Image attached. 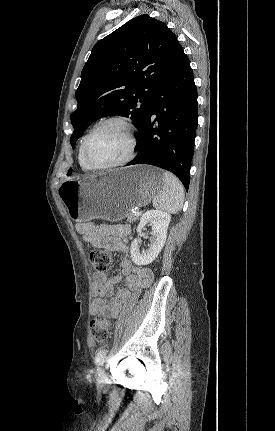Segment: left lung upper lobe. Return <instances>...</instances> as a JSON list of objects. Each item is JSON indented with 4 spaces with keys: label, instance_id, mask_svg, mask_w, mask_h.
Returning a JSON list of instances; mask_svg holds the SVG:
<instances>
[{
    "label": "left lung upper lobe",
    "instance_id": "left-lung-upper-lobe-1",
    "mask_svg": "<svg viewBox=\"0 0 275 431\" xmlns=\"http://www.w3.org/2000/svg\"><path fill=\"white\" fill-rule=\"evenodd\" d=\"M180 47L165 23L146 14L100 40L82 70L76 91L72 147L92 122L109 115L130 117L139 131Z\"/></svg>",
    "mask_w": 275,
    "mask_h": 431
}]
</instances>
